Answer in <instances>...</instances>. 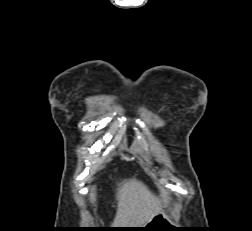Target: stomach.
Returning a JSON list of instances; mask_svg holds the SVG:
<instances>
[{"label": "stomach", "mask_w": 252, "mask_h": 231, "mask_svg": "<svg viewBox=\"0 0 252 231\" xmlns=\"http://www.w3.org/2000/svg\"><path fill=\"white\" fill-rule=\"evenodd\" d=\"M138 229L141 231H166L171 230L172 224L169 218L162 212L156 214L146 225Z\"/></svg>", "instance_id": "1"}]
</instances>
